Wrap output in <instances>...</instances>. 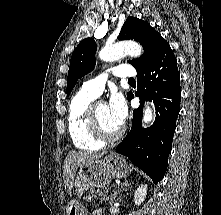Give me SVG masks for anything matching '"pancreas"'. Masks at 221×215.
<instances>
[{
    "mask_svg": "<svg viewBox=\"0 0 221 215\" xmlns=\"http://www.w3.org/2000/svg\"><path fill=\"white\" fill-rule=\"evenodd\" d=\"M101 197L102 196L100 194L93 193V191L91 189V192L87 196H85L83 199L86 200V202H89V201H91L93 199H97V200L100 199L101 200ZM101 201H103V200H101Z\"/></svg>",
    "mask_w": 221,
    "mask_h": 215,
    "instance_id": "pancreas-1",
    "label": "pancreas"
}]
</instances>
